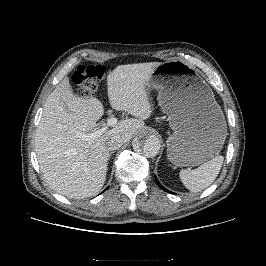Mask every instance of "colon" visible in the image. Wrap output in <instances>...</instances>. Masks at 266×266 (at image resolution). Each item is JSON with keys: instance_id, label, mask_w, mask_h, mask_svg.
Here are the masks:
<instances>
[{"instance_id": "5ec220e1", "label": "colon", "mask_w": 266, "mask_h": 266, "mask_svg": "<svg viewBox=\"0 0 266 266\" xmlns=\"http://www.w3.org/2000/svg\"><path fill=\"white\" fill-rule=\"evenodd\" d=\"M104 75L100 65H80L74 74L73 82L79 94L91 98Z\"/></svg>"}]
</instances>
